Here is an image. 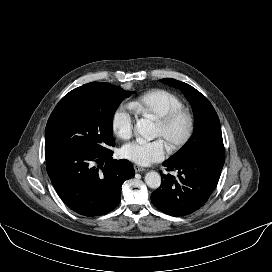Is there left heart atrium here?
<instances>
[{"label":"left heart atrium","instance_id":"1","mask_svg":"<svg viewBox=\"0 0 272 272\" xmlns=\"http://www.w3.org/2000/svg\"><path fill=\"white\" fill-rule=\"evenodd\" d=\"M124 158L139 164L149 165L163 160L166 156V145L163 140L133 141L121 149Z\"/></svg>","mask_w":272,"mask_h":272}]
</instances>
